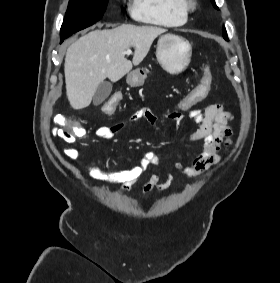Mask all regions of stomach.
<instances>
[{"label": "stomach", "mask_w": 280, "mask_h": 283, "mask_svg": "<svg viewBox=\"0 0 280 283\" xmlns=\"http://www.w3.org/2000/svg\"><path fill=\"white\" fill-rule=\"evenodd\" d=\"M192 47L187 39L173 33L160 36L157 44L156 57L161 67L170 74L176 75L184 71L190 61ZM148 72L144 68L136 69L127 76L131 86H142Z\"/></svg>", "instance_id": "1"}]
</instances>
